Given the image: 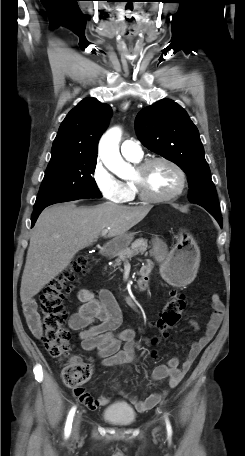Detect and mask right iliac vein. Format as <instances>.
Here are the masks:
<instances>
[{"label":"right iliac vein","mask_w":245,"mask_h":456,"mask_svg":"<svg viewBox=\"0 0 245 456\" xmlns=\"http://www.w3.org/2000/svg\"><path fill=\"white\" fill-rule=\"evenodd\" d=\"M78 429H79V419L77 418L74 424L73 428V435L76 436L78 434Z\"/></svg>","instance_id":"1"}]
</instances>
